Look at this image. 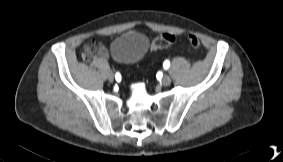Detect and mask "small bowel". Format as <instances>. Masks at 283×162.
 Instances as JSON below:
<instances>
[{
    "mask_svg": "<svg viewBox=\"0 0 283 162\" xmlns=\"http://www.w3.org/2000/svg\"><path fill=\"white\" fill-rule=\"evenodd\" d=\"M85 53H88L91 56L96 53L102 59H105L108 56L107 48L104 45H102V44H98V45L91 44V45H88L86 47V49H85Z\"/></svg>",
    "mask_w": 283,
    "mask_h": 162,
    "instance_id": "c3829d8e",
    "label": "small bowel"
}]
</instances>
